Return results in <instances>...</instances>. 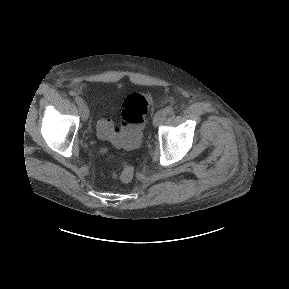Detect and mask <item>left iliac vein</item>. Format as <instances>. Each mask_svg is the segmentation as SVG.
I'll return each instance as SVG.
<instances>
[{
    "mask_svg": "<svg viewBox=\"0 0 289 289\" xmlns=\"http://www.w3.org/2000/svg\"><path fill=\"white\" fill-rule=\"evenodd\" d=\"M166 115H167V113L164 109L157 111L153 117V125L155 127L160 125L163 122V120L165 119Z\"/></svg>",
    "mask_w": 289,
    "mask_h": 289,
    "instance_id": "1",
    "label": "left iliac vein"
}]
</instances>
